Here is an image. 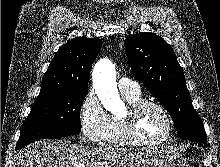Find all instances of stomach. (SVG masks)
<instances>
[{
  "mask_svg": "<svg viewBox=\"0 0 220 167\" xmlns=\"http://www.w3.org/2000/svg\"><path fill=\"white\" fill-rule=\"evenodd\" d=\"M119 167H189L187 160L167 147L129 151Z\"/></svg>",
  "mask_w": 220,
  "mask_h": 167,
  "instance_id": "1",
  "label": "stomach"
}]
</instances>
